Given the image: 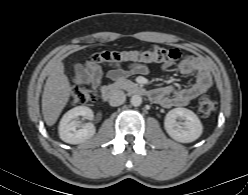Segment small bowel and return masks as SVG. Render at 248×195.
Instances as JSON below:
<instances>
[{"mask_svg": "<svg viewBox=\"0 0 248 195\" xmlns=\"http://www.w3.org/2000/svg\"><path fill=\"white\" fill-rule=\"evenodd\" d=\"M169 67L170 63L163 65L164 70H167ZM178 69L183 75L195 74L196 79L194 83L188 87L179 88L166 86L152 90L151 98L164 108L186 106L198 96L207 92L212 85V78L207 65L203 60L197 57H185L180 61ZM147 72V66L143 64H131L126 67L110 70L107 73V77L111 80H115L128 74H145ZM101 78V69L93 63L88 62L77 67L75 80L78 83H91L97 86Z\"/></svg>", "mask_w": 248, "mask_h": 195, "instance_id": "obj_1", "label": "small bowel"}]
</instances>
